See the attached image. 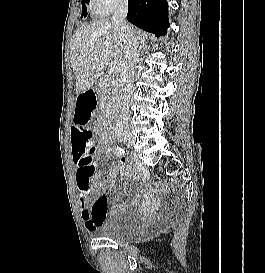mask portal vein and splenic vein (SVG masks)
I'll list each match as a JSON object with an SVG mask.
<instances>
[{"instance_id":"1","label":"portal vein and splenic vein","mask_w":265,"mask_h":273,"mask_svg":"<svg viewBox=\"0 0 265 273\" xmlns=\"http://www.w3.org/2000/svg\"><path fill=\"white\" fill-rule=\"evenodd\" d=\"M120 67H121V63L119 61H113L110 64V69L112 71L120 70Z\"/></svg>"}]
</instances>
